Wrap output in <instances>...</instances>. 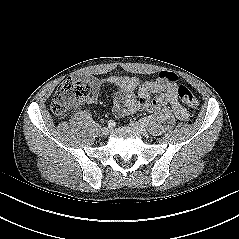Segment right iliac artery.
<instances>
[{"mask_svg": "<svg viewBox=\"0 0 239 239\" xmlns=\"http://www.w3.org/2000/svg\"><path fill=\"white\" fill-rule=\"evenodd\" d=\"M115 122L113 121V120H110V121H108V127H111V128H113V127H115Z\"/></svg>", "mask_w": 239, "mask_h": 239, "instance_id": "82829eb1", "label": "right iliac artery"}]
</instances>
